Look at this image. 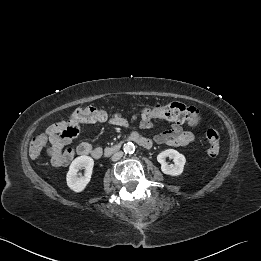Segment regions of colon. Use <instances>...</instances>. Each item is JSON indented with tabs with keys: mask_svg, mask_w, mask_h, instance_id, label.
I'll list each match as a JSON object with an SVG mask.
<instances>
[{
	"mask_svg": "<svg viewBox=\"0 0 261 261\" xmlns=\"http://www.w3.org/2000/svg\"><path fill=\"white\" fill-rule=\"evenodd\" d=\"M112 115L109 112L96 107L77 109L70 117L73 124L59 135V143L66 144L75 138L78 135L82 124L104 122ZM138 116L141 118V123H148L153 119H166L187 122L190 125H197L201 120L199 109L179 102H171L168 104H148L139 111ZM50 138V134L46 132L35 136L30 144L31 156H39L49 145ZM206 139L208 142V155L216 157L220 152V131L214 127L208 128L206 131Z\"/></svg>",
	"mask_w": 261,
	"mask_h": 261,
	"instance_id": "colon-1",
	"label": "colon"
}]
</instances>
